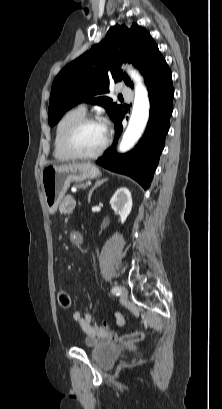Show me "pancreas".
Wrapping results in <instances>:
<instances>
[{
    "mask_svg": "<svg viewBox=\"0 0 222 409\" xmlns=\"http://www.w3.org/2000/svg\"><path fill=\"white\" fill-rule=\"evenodd\" d=\"M77 187H78V188H85V187H86V184H79V185H77Z\"/></svg>",
    "mask_w": 222,
    "mask_h": 409,
    "instance_id": "obj_1",
    "label": "pancreas"
}]
</instances>
